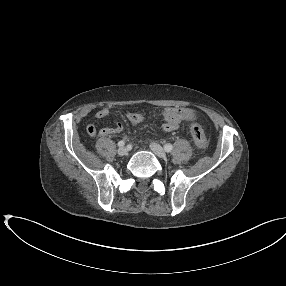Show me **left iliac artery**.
Listing matches in <instances>:
<instances>
[{"label": "left iliac artery", "instance_id": "44dca946", "mask_svg": "<svg viewBox=\"0 0 286 286\" xmlns=\"http://www.w3.org/2000/svg\"><path fill=\"white\" fill-rule=\"evenodd\" d=\"M172 149H173L172 144H166V145L164 146V150H165L166 152H171Z\"/></svg>", "mask_w": 286, "mask_h": 286}]
</instances>
